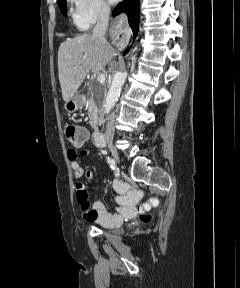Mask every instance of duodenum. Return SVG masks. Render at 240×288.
Here are the masks:
<instances>
[{"label": "duodenum", "instance_id": "410a0bca", "mask_svg": "<svg viewBox=\"0 0 240 288\" xmlns=\"http://www.w3.org/2000/svg\"><path fill=\"white\" fill-rule=\"evenodd\" d=\"M92 123L94 125L95 128L98 127L99 123H100V117L95 115L92 119ZM94 142L98 147H104L105 146V138L104 135L99 131L96 130L94 132V136H93Z\"/></svg>", "mask_w": 240, "mask_h": 288}]
</instances>
